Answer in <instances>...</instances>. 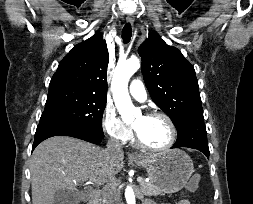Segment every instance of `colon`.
I'll use <instances>...</instances> for the list:
<instances>
[{"label":"colon","instance_id":"colon-1","mask_svg":"<svg viewBox=\"0 0 253 204\" xmlns=\"http://www.w3.org/2000/svg\"><path fill=\"white\" fill-rule=\"evenodd\" d=\"M200 181H201V175L198 173L193 174L187 186L188 190L194 191L198 187V184Z\"/></svg>","mask_w":253,"mask_h":204}]
</instances>
